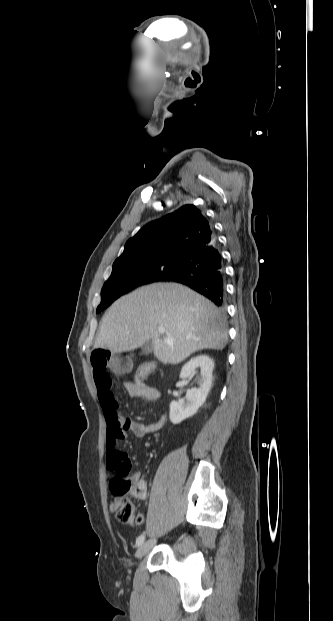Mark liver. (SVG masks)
<instances>
[{
	"label": "liver",
	"mask_w": 333,
	"mask_h": 621,
	"mask_svg": "<svg viewBox=\"0 0 333 621\" xmlns=\"http://www.w3.org/2000/svg\"><path fill=\"white\" fill-rule=\"evenodd\" d=\"M149 340L159 361L177 364L198 350H222L228 333L224 317L209 300L180 284L156 283L121 297L110 307L101 320L94 348L123 353Z\"/></svg>",
	"instance_id": "6515ba94"
}]
</instances>
